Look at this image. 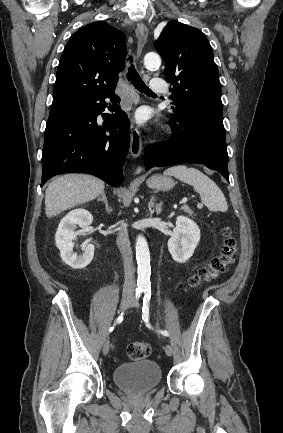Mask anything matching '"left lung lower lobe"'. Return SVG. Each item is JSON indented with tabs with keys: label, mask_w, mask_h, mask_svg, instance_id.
Returning <instances> with one entry per match:
<instances>
[{
	"label": "left lung lower lobe",
	"mask_w": 283,
	"mask_h": 433,
	"mask_svg": "<svg viewBox=\"0 0 283 433\" xmlns=\"http://www.w3.org/2000/svg\"><path fill=\"white\" fill-rule=\"evenodd\" d=\"M144 157L146 170L178 163H200L217 170L229 181L225 130L215 125L175 124L171 139L148 145Z\"/></svg>",
	"instance_id": "1"
}]
</instances>
